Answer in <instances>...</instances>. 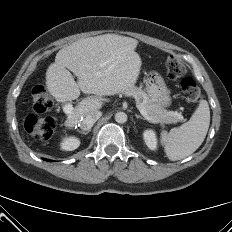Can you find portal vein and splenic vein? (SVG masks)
<instances>
[{"label": "portal vein and splenic vein", "instance_id": "1", "mask_svg": "<svg viewBox=\"0 0 232 232\" xmlns=\"http://www.w3.org/2000/svg\"><path fill=\"white\" fill-rule=\"evenodd\" d=\"M136 98V97H135ZM136 107L138 108L139 112L146 118V120H148L149 122L151 123H158V121L154 120L153 118H151L147 111L145 110V108L140 104V103H137ZM73 106L71 104H66L64 107H63V111L65 114H70L72 113L73 111ZM174 114H177L179 116L180 119H182L183 117L178 114L177 112H173Z\"/></svg>", "mask_w": 232, "mask_h": 232}]
</instances>
